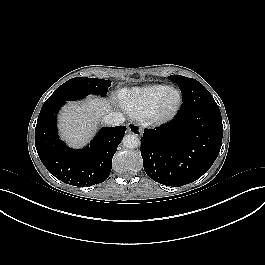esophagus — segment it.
Wrapping results in <instances>:
<instances>
[{"label":"esophagus","instance_id":"esophagus-1","mask_svg":"<svg viewBox=\"0 0 265 265\" xmlns=\"http://www.w3.org/2000/svg\"><path fill=\"white\" fill-rule=\"evenodd\" d=\"M127 132L138 135V134L142 133V129L137 124L129 123L128 128H127Z\"/></svg>","mask_w":265,"mask_h":265}]
</instances>
